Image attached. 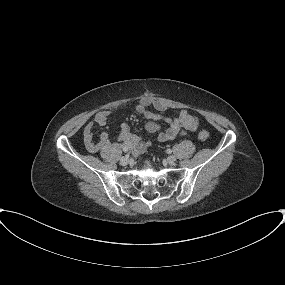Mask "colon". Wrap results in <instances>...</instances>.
Listing matches in <instances>:
<instances>
[{
    "label": "colon",
    "instance_id": "colon-1",
    "mask_svg": "<svg viewBox=\"0 0 285 285\" xmlns=\"http://www.w3.org/2000/svg\"><path fill=\"white\" fill-rule=\"evenodd\" d=\"M199 139L205 141L209 138V133L207 131H201L198 135Z\"/></svg>",
    "mask_w": 285,
    "mask_h": 285
}]
</instances>
